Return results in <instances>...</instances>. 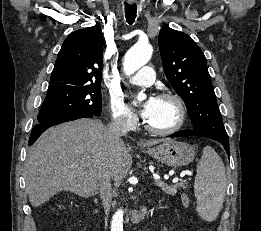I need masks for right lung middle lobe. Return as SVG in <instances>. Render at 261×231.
<instances>
[{
	"instance_id": "right-lung-middle-lobe-1",
	"label": "right lung middle lobe",
	"mask_w": 261,
	"mask_h": 231,
	"mask_svg": "<svg viewBox=\"0 0 261 231\" xmlns=\"http://www.w3.org/2000/svg\"><path fill=\"white\" fill-rule=\"evenodd\" d=\"M101 109L100 86L49 88L37 120L42 123L75 113L99 116Z\"/></svg>"
}]
</instances>
